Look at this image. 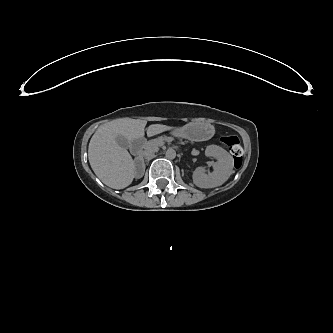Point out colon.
<instances>
[{
  "mask_svg": "<svg viewBox=\"0 0 333 333\" xmlns=\"http://www.w3.org/2000/svg\"><path fill=\"white\" fill-rule=\"evenodd\" d=\"M221 142L229 147L233 155L234 166L240 168L242 165V150L239 139L234 136H224L221 138Z\"/></svg>",
  "mask_w": 333,
  "mask_h": 333,
  "instance_id": "colon-1",
  "label": "colon"
}]
</instances>
